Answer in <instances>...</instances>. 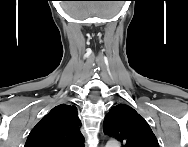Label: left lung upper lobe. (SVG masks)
<instances>
[{"label":"left lung upper lobe","instance_id":"5c2ea615","mask_svg":"<svg viewBox=\"0 0 188 147\" xmlns=\"http://www.w3.org/2000/svg\"><path fill=\"white\" fill-rule=\"evenodd\" d=\"M104 133L119 140L123 147H159L145 119L126 104L110 109L103 124Z\"/></svg>","mask_w":188,"mask_h":147}]
</instances>
